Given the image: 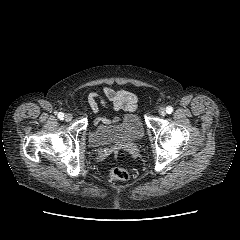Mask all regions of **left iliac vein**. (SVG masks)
Wrapping results in <instances>:
<instances>
[{
	"instance_id": "4c4485c4",
	"label": "left iliac vein",
	"mask_w": 240,
	"mask_h": 240,
	"mask_svg": "<svg viewBox=\"0 0 240 240\" xmlns=\"http://www.w3.org/2000/svg\"><path fill=\"white\" fill-rule=\"evenodd\" d=\"M158 112H159V114H160L161 116H165V115H166V110H165L164 107H160L159 110H158Z\"/></svg>"
}]
</instances>
